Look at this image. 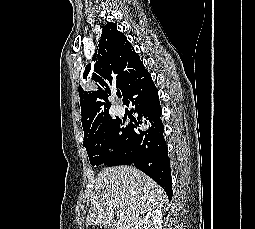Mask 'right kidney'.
Returning a JSON list of instances; mask_svg holds the SVG:
<instances>
[{
  "instance_id": "1",
  "label": "right kidney",
  "mask_w": 255,
  "mask_h": 229,
  "mask_svg": "<svg viewBox=\"0 0 255 229\" xmlns=\"http://www.w3.org/2000/svg\"><path fill=\"white\" fill-rule=\"evenodd\" d=\"M162 212L160 209H154L148 212L135 225V229H162Z\"/></svg>"
}]
</instances>
